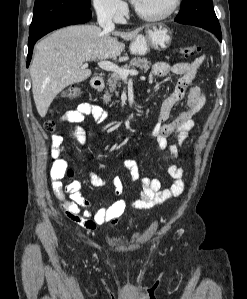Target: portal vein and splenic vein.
I'll list each match as a JSON object with an SVG mask.
<instances>
[{"label":"portal vein and splenic vein","mask_w":247,"mask_h":299,"mask_svg":"<svg viewBox=\"0 0 247 299\" xmlns=\"http://www.w3.org/2000/svg\"><path fill=\"white\" fill-rule=\"evenodd\" d=\"M98 66L105 71H112L117 73L122 79H127L129 75H138V71L136 70H125L109 61H100L98 63ZM86 67H88L87 63L82 66V68Z\"/></svg>","instance_id":"18ae733b"}]
</instances>
